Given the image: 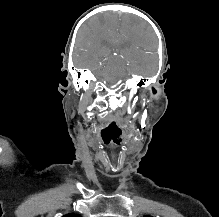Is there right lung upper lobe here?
<instances>
[{"label":"right lung upper lobe","mask_w":219,"mask_h":217,"mask_svg":"<svg viewBox=\"0 0 219 217\" xmlns=\"http://www.w3.org/2000/svg\"><path fill=\"white\" fill-rule=\"evenodd\" d=\"M63 217H81V216L78 214H67V215H64Z\"/></svg>","instance_id":"cb5924a9"}]
</instances>
